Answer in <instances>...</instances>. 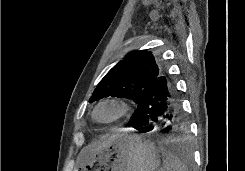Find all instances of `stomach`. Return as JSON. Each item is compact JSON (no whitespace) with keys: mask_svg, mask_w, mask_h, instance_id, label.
I'll list each match as a JSON object with an SVG mask.
<instances>
[{"mask_svg":"<svg viewBox=\"0 0 245 171\" xmlns=\"http://www.w3.org/2000/svg\"><path fill=\"white\" fill-rule=\"evenodd\" d=\"M159 150L140 135L117 133L107 147L89 153L76 171H157Z\"/></svg>","mask_w":245,"mask_h":171,"instance_id":"1","label":"stomach"}]
</instances>
